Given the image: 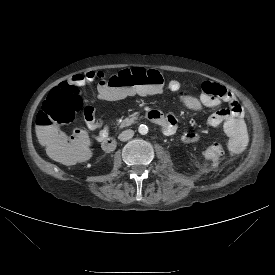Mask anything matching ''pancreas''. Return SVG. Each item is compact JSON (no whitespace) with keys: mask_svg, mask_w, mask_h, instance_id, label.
I'll use <instances>...</instances> for the list:
<instances>
[{"mask_svg":"<svg viewBox=\"0 0 275 275\" xmlns=\"http://www.w3.org/2000/svg\"><path fill=\"white\" fill-rule=\"evenodd\" d=\"M136 120H137V117H135L134 115H131L125 119L121 118L117 120V125L119 126V128H124L134 124Z\"/></svg>","mask_w":275,"mask_h":275,"instance_id":"cf45deb5","label":"pancreas"}]
</instances>
